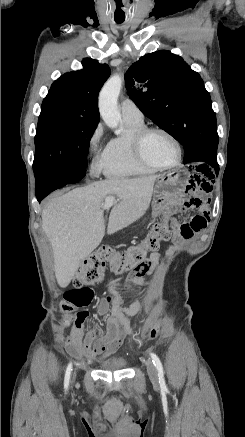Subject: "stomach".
<instances>
[{
	"label": "stomach",
	"mask_w": 245,
	"mask_h": 437,
	"mask_svg": "<svg viewBox=\"0 0 245 437\" xmlns=\"http://www.w3.org/2000/svg\"><path fill=\"white\" fill-rule=\"evenodd\" d=\"M187 184V176L179 170L162 174L156 179L153 190L152 207L155 213H158L166 204L167 199L172 192L182 189Z\"/></svg>",
	"instance_id": "0dacf381"
}]
</instances>
